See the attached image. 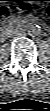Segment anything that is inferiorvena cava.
<instances>
[{
	"mask_svg": "<svg viewBox=\"0 0 50 111\" xmlns=\"http://www.w3.org/2000/svg\"><path fill=\"white\" fill-rule=\"evenodd\" d=\"M13 36H16V37H20V36H23L24 35V31L23 30H17V31H14L12 33Z\"/></svg>",
	"mask_w": 50,
	"mask_h": 111,
	"instance_id": "obj_1",
	"label": "inferior vena cava"
}]
</instances>
